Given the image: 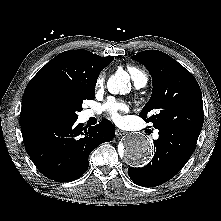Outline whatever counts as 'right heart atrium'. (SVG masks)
Segmentation results:
<instances>
[{"label": "right heart atrium", "instance_id": "obj_1", "mask_svg": "<svg viewBox=\"0 0 221 221\" xmlns=\"http://www.w3.org/2000/svg\"><path fill=\"white\" fill-rule=\"evenodd\" d=\"M103 84H104V76H103V75H100V76L97 78L96 87H97V88H102V87H103Z\"/></svg>", "mask_w": 221, "mask_h": 221}]
</instances>
